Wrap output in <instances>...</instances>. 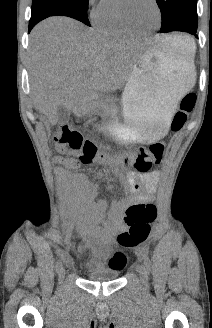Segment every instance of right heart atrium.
Instances as JSON below:
<instances>
[{"instance_id": "1", "label": "right heart atrium", "mask_w": 212, "mask_h": 328, "mask_svg": "<svg viewBox=\"0 0 212 328\" xmlns=\"http://www.w3.org/2000/svg\"><path fill=\"white\" fill-rule=\"evenodd\" d=\"M108 0H88L90 18L93 21L99 17L102 12L103 6Z\"/></svg>"}]
</instances>
